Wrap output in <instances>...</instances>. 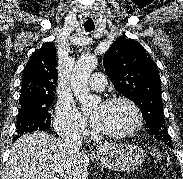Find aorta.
Masks as SVG:
<instances>
[{"label":"aorta","mask_w":183,"mask_h":179,"mask_svg":"<svg viewBox=\"0 0 183 179\" xmlns=\"http://www.w3.org/2000/svg\"><path fill=\"white\" fill-rule=\"evenodd\" d=\"M97 65L95 56H81L71 74V88L84 112L93 110L101 102L98 96L89 93L88 79Z\"/></svg>","instance_id":"aorta-1"}]
</instances>
